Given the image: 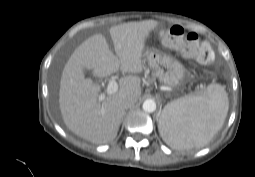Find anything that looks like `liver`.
Listing matches in <instances>:
<instances>
[{"label": "liver", "instance_id": "obj_1", "mask_svg": "<svg viewBox=\"0 0 255 177\" xmlns=\"http://www.w3.org/2000/svg\"><path fill=\"white\" fill-rule=\"evenodd\" d=\"M158 25L154 20L128 22L110 28L116 55L105 37L96 34L84 41L67 61L60 80L59 107L65 125L74 134L94 144L115 139L125 114L122 101L141 96V80L136 75L119 80V90L99 100L101 87L87 79L83 70L103 78L121 70L123 73L143 71L142 56L150 32Z\"/></svg>", "mask_w": 255, "mask_h": 177}]
</instances>
